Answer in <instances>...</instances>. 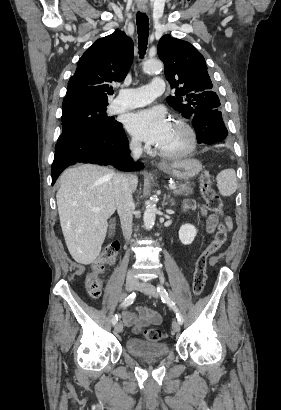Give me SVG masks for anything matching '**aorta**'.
I'll return each instance as SVG.
<instances>
[{
    "label": "aorta",
    "mask_w": 281,
    "mask_h": 410,
    "mask_svg": "<svg viewBox=\"0 0 281 410\" xmlns=\"http://www.w3.org/2000/svg\"><path fill=\"white\" fill-rule=\"evenodd\" d=\"M162 68L163 63L159 60H148L143 65V71L146 74L156 73L162 70ZM156 212L157 208L155 202L153 200L149 201L143 216L144 225L147 230L152 229L156 218Z\"/></svg>",
    "instance_id": "obj_1"
}]
</instances>
